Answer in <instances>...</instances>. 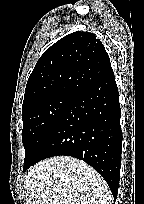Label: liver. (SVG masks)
<instances>
[{"mask_svg":"<svg viewBox=\"0 0 144 204\" xmlns=\"http://www.w3.org/2000/svg\"><path fill=\"white\" fill-rule=\"evenodd\" d=\"M26 204H112L101 175L85 162L57 156L37 163L26 175Z\"/></svg>","mask_w":144,"mask_h":204,"instance_id":"liver-1","label":"liver"}]
</instances>
